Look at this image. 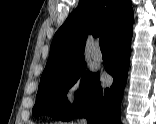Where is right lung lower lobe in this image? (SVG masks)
<instances>
[{
	"label": "right lung lower lobe",
	"mask_w": 156,
	"mask_h": 124,
	"mask_svg": "<svg viewBox=\"0 0 156 124\" xmlns=\"http://www.w3.org/2000/svg\"><path fill=\"white\" fill-rule=\"evenodd\" d=\"M131 38L132 28L109 44L111 57L105 70L114 78L112 86L102 89L96 74L82 101L61 120L85 117L89 124H121L120 103L130 63Z\"/></svg>",
	"instance_id": "obj_1"
}]
</instances>
